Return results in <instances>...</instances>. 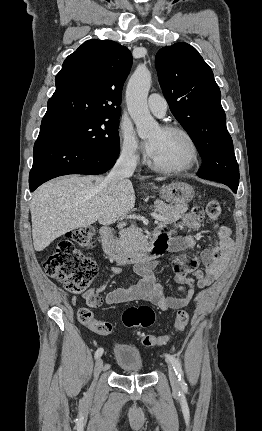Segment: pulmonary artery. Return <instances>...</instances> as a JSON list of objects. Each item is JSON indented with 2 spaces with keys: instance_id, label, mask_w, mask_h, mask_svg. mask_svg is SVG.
<instances>
[{
  "instance_id": "e3ab8cb5",
  "label": "pulmonary artery",
  "mask_w": 262,
  "mask_h": 431,
  "mask_svg": "<svg viewBox=\"0 0 262 431\" xmlns=\"http://www.w3.org/2000/svg\"><path fill=\"white\" fill-rule=\"evenodd\" d=\"M147 104L152 113L158 117L165 115L167 111V102L159 94L153 93L148 97Z\"/></svg>"
}]
</instances>
